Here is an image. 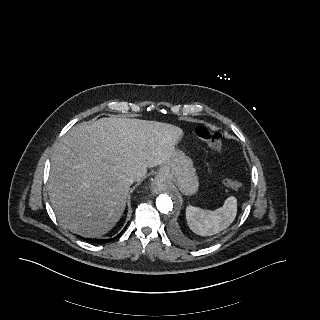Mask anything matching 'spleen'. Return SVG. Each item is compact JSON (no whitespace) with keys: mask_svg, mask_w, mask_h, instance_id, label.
I'll use <instances>...</instances> for the list:
<instances>
[{"mask_svg":"<svg viewBox=\"0 0 320 320\" xmlns=\"http://www.w3.org/2000/svg\"><path fill=\"white\" fill-rule=\"evenodd\" d=\"M237 215V199L228 197L223 206L211 211L189 205L186 220L189 228L201 236H212L226 229Z\"/></svg>","mask_w":320,"mask_h":320,"instance_id":"obj_1","label":"spleen"}]
</instances>
